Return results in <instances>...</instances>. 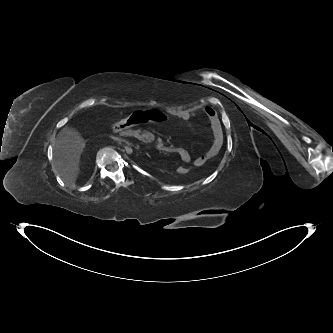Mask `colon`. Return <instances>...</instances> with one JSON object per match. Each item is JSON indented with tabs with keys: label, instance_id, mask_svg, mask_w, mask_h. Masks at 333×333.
I'll use <instances>...</instances> for the list:
<instances>
[{
	"label": "colon",
	"instance_id": "5ec220e1",
	"mask_svg": "<svg viewBox=\"0 0 333 333\" xmlns=\"http://www.w3.org/2000/svg\"><path fill=\"white\" fill-rule=\"evenodd\" d=\"M162 118V113L159 110H152L143 113L129 114L126 119L121 120L120 122H116L115 124L111 125L112 131H119L123 127L132 126L135 123L137 124H144L149 123L152 121H159ZM176 170L179 173L186 174L187 172H192V167H187L186 165L179 164L176 167Z\"/></svg>",
	"mask_w": 333,
	"mask_h": 333
}]
</instances>
